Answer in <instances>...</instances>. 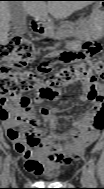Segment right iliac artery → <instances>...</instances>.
Returning a JSON list of instances; mask_svg holds the SVG:
<instances>
[{
	"label": "right iliac artery",
	"mask_w": 104,
	"mask_h": 189,
	"mask_svg": "<svg viewBox=\"0 0 104 189\" xmlns=\"http://www.w3.org/2000/svg\"><path fill=\"white\" fill-rule=\"evenodd\" d=\"M10 156H7V158L4 161V167H3V176H2V182L7 183L8 181V173L10 169Z\"/></svg>",
	"instance_id": "obj_1"
}]
</instances>
